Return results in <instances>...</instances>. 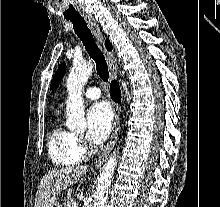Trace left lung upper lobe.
Here are the masks:
<instances>
[{
	"mask_svg": "<svg viewBox=\"0 0 220 207\" xmlns=\"http://www.w3.org/2000/svg\"><path fill=\"white\" fill-rule=\"evenodd\" d=\"M65 71H66V65L65 63H62L58 68L57 72L55 73L53 80L51 82L50 89L52 90V92H54V90L58 87L60 81L62 80L65 74Z\"/></svg>",
	"mask_w": 220,
	"mask_h": 207,
	"instance_id": "obj_1",
	"label": "left lung upper lobe"
}]
</instances>
